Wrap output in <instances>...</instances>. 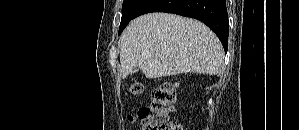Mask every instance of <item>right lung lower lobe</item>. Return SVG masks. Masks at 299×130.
<instances>
[{"label": "right lung lower lobe", "instance_id": "right-lung-lower-lobe-1", "mask_svg": "<svg viewBox=\"0 0 299 130\" xmlns=\"http://www.w3.org/2000/svg\"><path fill=\"white\" fill-rule=\"evenodd\" d=\"M150 12H167L198 19L228 48V14L225 0H147L134 18Z\"/></svg>", "mask_w": 299, "mask_h": 130}]
</instances>
